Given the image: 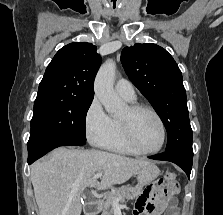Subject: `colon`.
<instances>
[{
  "instance_id": "colon-1",
  "label": "colon",
  "mask_w": 223,
  "mask_h": 215,
  "mask_svg": "<svg viewBox=\"0 0 223 215\" xmlns=\"http://www.w3.org/2000/svg\"><path fill=\"white\" fill-rule=\"evenodd\" d=\"M165 179L168 182H173L176 179V174L172 171H167V172H165Z\"/></svg>"
}]
</instances>
